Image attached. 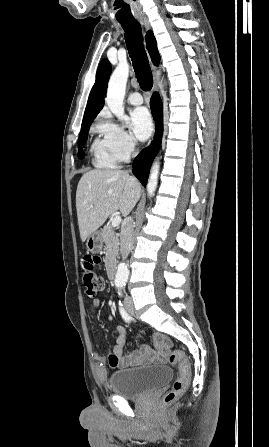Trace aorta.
Listing matches in <instances>:
<instances>
[{
    "mask_svg": "<svg viewBox=\"0 0 269 447\" xmlns=\"http://www.w3.org/2000/svg\"><path fill=\"white\" fill-rule=\"evenodd\" d=\"M129 76V64L127 62H122L120 60L116 70H114L108 84L107 98L105 102L111 110L112 114L116 116L119 122L126 120L125 110L123 106V100L125 96L126 84ZM159 162H155L151 168V174L149 176L147 184L148 196H153L157 184H158V174H159ZM129 269L126 263H119L117 265V271L115 275L116 285H124L128 279Z\"/></svg>",
    "mask_w": 269,
    "mask_h": 447,
    "instance_id": "762f6f07",
    "label": "aorta"
}]
</instances>
